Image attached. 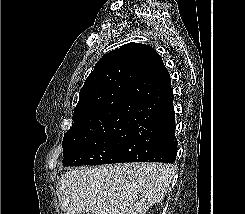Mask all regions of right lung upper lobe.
<instances>
[{
    "mask_svg": "<svg viewBox=\"0 0 245 214\" xmlns=\"http://www.w3.org/2000/svg\"><path fill=\"white\" fill-rule=\"evenodd\" d=\"M162 58L149 45L128 43L105 54L85 80L71 132L130 126L141 111L138 98L166 85Z\"/></svg>",
    "mask_w": 245,
    "mask_h": 214,
    "instance_id": "1",
    "label": "right lung upper lobe"
}]
</instances>
